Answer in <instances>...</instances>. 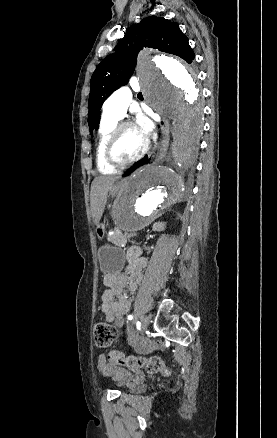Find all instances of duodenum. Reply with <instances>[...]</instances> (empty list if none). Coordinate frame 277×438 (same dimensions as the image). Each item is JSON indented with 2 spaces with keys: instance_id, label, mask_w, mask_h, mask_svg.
Segmentation results:
<instances>
[{
  "instance_id": "obj_1",
  "label": "duodenum",
  "mask_w": 277,
  "mask_h": 438,
  "mask_svg": "<svg viewBox=\"0 0 277 438\" xmlns=\"http://www.w3.org/2000/svg\"><path fill=\"white\" fill-rule=\"evenodd\" d=\"M126 260H127V262H130L132 260V256L130 254H127Z\"/></svg>"
}]
</instances>
